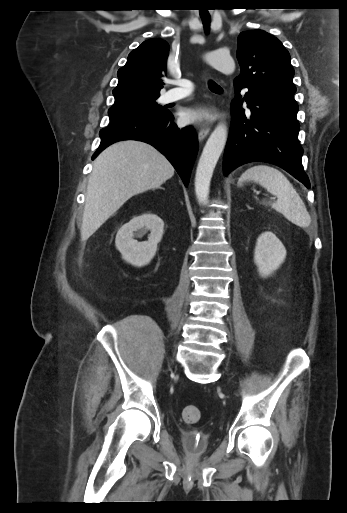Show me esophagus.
I'll return each mask as SVG.
<instances>
[{
	"label": "esophagus",
	"instance_id": "1",
	"mask_svg": "<svg viewBox=\"0 0 347 513\" xmlns=\"http://www.w3.org/2000/svg\"><path fill=\"white\" fill-rule=\"evenodd\" d=\"M212 112H215L214 108H212ZM199 128L200 129H199V132H198V139H199V141H202L204 138L207 137V135L210 132L211 122L210 121H205L203 123H200Z\"/></svg>",
	"mask_w": 347,
	"mask_h": 513
}]
</instances>
